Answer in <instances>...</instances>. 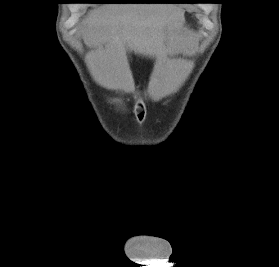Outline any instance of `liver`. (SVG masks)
<instances>
[{
  "label": "liver",
  "instance_id": "6515ba94",
  "mask_svg": "<svg viewBox=\"0 0 279 267\" xmlns=\"http://www.w3.org/2000/svg\"><path fill=\"white\" fill-rule=\"evenodd\" d=\"M182 16L172 5L153 3L106 5L94 10L82 35L95 48L93 68L101 82L110 89L122 86L129 70L127 50L149 57L174 52Z\"/></svg>",
  "mask_w": 279,
  "mask_h": 267
}]
</instances>
